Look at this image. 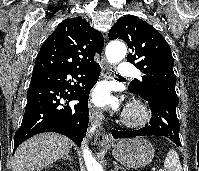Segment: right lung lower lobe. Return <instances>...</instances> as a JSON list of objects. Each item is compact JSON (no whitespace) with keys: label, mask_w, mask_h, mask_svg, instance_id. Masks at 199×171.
<instances>
[{"label":"right lung lower lobe","mask_w":199,"mask_h":171,"mask_svg":"<svg viewBox=\"0 0 199 171\" xmlns=\"http://www.w3.org/2000/svg\"><path fill=\"white\" fill-rule=\"evenodd\" d=\"M99 74L100 66L95 61L72 70L33 71L25 114L15 133L14 152L23 141L42 132L63 134L80 146L88 125L89 92ZM68 75L78 83L71 85ZM72 100L80 103L69 105Z\"/></svg>","instance_id":"98d812e1"}]
</instances>
